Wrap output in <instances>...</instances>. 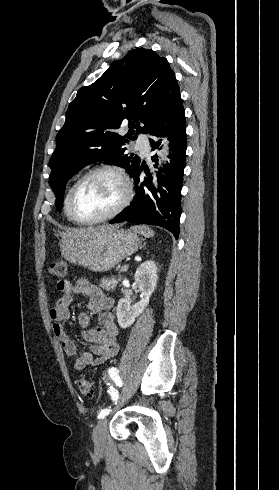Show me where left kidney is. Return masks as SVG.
Segmentation results:
<instances>
[{
	"instance_id": "5707ae66",
	"label": "left kidney",
	"mask_w": 279,
	"mask_h": 490,
	"mask_svg": "<svg viewBox=\"0 0 279 490\" xmlns=\"http://www.w3.org/2000/svg\"><path fill=\"white\" fill-rule=\"evenodd\" d=\"M157 266L152 260L143 262L136 270L134 276L135 284H137L140 292H142V298L137 304H131L128 298H121L116 308L117 322L120 328H130L134 324L136 318L144 312L146 306L149 304L150 296L155 292L158 276Z\"/></svg>"
}]
</instances>
